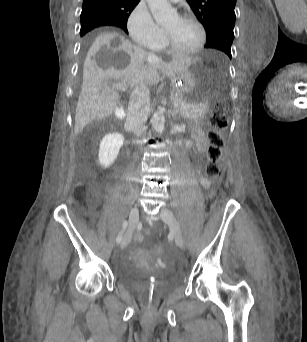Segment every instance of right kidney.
<instances>
[{
	"label": "right kidney",
	"instance_id": "1",
	"mask_svg": "<svg viewBox=\"0 0 307 342\" xmlns=\"http://www.w3.org/2000/svg\"><path fill=\"white\" fill-rule=\"evenodd\" d=\"M108 48V46H107ZM124 136L123 134H106L100 142L99 148V164L101 168H110L114 164L121 146H123Z\"/></svg>",
	"mask_w": 307,
	"mask_h": 342
}]
</instances>
